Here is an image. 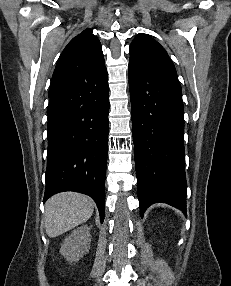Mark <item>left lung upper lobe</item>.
Segmentation results:
<instances>
[{
  "label": "left lung upper lobe",
  "instance_id": "5c2ea615",
  "mask_svg": "<svg viewBox=\"0 0 231 286\" xmlns=\"http://www.w3.org/2000/svg\"><path fill=\"white\" fill-rule=\"evenodd\" d=\"M129 62L150 72L177 78L176 69L165 49L146 34H139L132 41Z\"/></svg>",
  "mask_w": 231,
  "mask_h": 286
}]
</instances>
